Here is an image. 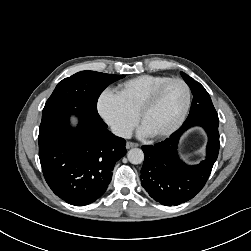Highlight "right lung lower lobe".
I'll return each mask as SVG.
<instances>
[{
  "label": "right lung lower lobe",
  "mask_w": 251,
  "mask_h": 251,
  "mask_svg": "<svg viewBox=\"0 0 251 251\" xmlns=\"http://www.w3.org/2000/svg\"><path fill=\"white\" fill-rule=\"evenodd\" d=\"M79 116L75 130L69 116ZM39 158L51 190L67 203L84 206L106 191L116 161L126 154V141L107 130L97 110L66 104L43 111Z\"/></svg>",
  "instance_id": "right-lung-lower-lobe-1"
}]
</instances>
